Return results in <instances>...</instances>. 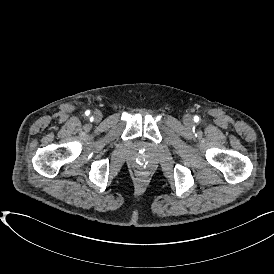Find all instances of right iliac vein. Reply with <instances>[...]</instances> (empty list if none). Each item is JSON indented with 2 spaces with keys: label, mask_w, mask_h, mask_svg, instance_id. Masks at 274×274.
<instances>
[{
  "label": "right iliac vein",
  "mask_w": 274,
  "mask_h": 274,
  "mask_svg": "<svg viewBox=\"0 0 274 274\" xmlns=\"http://www.w3.org/2000/svg\"><path fill=\"white\" fill-rule=\"evenodd\" d=\"M93 119L99 122L102 119V113L99 110L93 112Z\"/></svg>",
  "instance_id": "63e3f726"
}]
</instances>
